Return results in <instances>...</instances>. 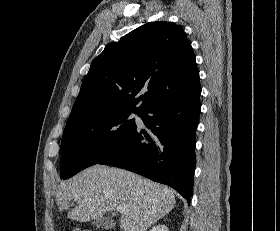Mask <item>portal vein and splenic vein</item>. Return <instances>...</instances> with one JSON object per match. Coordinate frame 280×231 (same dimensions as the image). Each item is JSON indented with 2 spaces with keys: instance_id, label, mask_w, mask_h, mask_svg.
Segmentation results:
<instances>
[{
  "instance_id": "portal-vein-and-splenic-vein-1",
  "label": "portal vein and splenic vein",
  "mask_w": 280,
  "mask_h": 231,
  "mask_svg": "<svg viewBox=\"0 0 280 231\" xmlns=\"http://www.w3.org/2000/svg\"><path fill=\"white\" fill-rule=\"evenodd\" d=\"M117 211H120V213H122V211H125V207H120V205H118Z\"/></svg>"
}]
</instances>
